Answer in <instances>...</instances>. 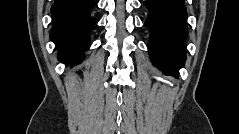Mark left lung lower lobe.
<instances>
[{"label": "left lung lower lobe", "mask_w": 239, "mask_h": 134, "mask_svg": "<svg viewBox=\"0 0 239 134\" xmlns=\"http://www.w3.org/2000/svg\"><path fill=\"white\" fill-rule=\"evenodd\" d=\"M152 62L167 75L177 76L186 60L187 11L184 0H146Z\"/></svg>", "instance_id": "0a47b994"}]
</instances>
